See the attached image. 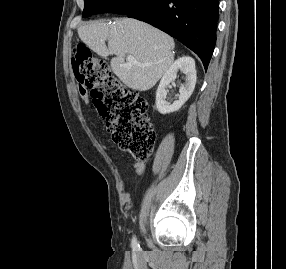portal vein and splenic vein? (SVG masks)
<instances>
[{"mask_svg": "<svg viewBox=\"0 0 286 269\" xmlns=\"http://www.w3.org/2000/svg\"><path fill=\"white\" fill-rule=\"evenodd\" d=\"M126 60H127L128 63L137 64L136 59L133 56H131V55H128Z\"/></svg>", "mask_w": 286, "mask_h": 269, "instance_id": "portal-vein-and-splenic-vein-1", "label": "portal vein and splenic vein"}]
</instances>
